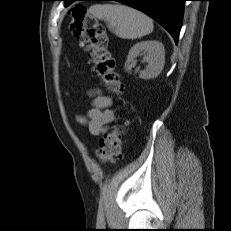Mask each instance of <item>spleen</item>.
<instances>
[{
    "label": "spleen",
    "mask_w": 231,
    "mask_h": 231,
    "mask_svg": "<svg viewBox=\"0 0 231 231\" xmlns=\"http://www.w3.org/2000/svg\"><path fill=\"white\" fill-rule=\"evenodd\" d=\"M94 17L104 20L116 36L137 39L150 34L154 25L144 13L121 4H94L89 8Z\"/></svg>",
    "instance_id": "spleen-1"
}]
</instances>
